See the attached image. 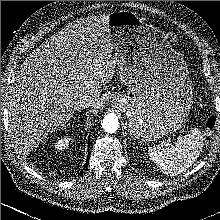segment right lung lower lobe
Segmentation results:
<instances>
[{"instance_id":"right-lung-lower-lobe-1","label":"right lung lower lobe","mask_w":220,"mask_h":220,"mask_svg":"<svg viewBox=\"0 0 220 220\" xmlns=\"http://www.w3.org/2000/svg\"><path fill=\"white\" fill-rule=\"evenodd\" d=\"M88 142H89V140H88ZM88 148H89V143H88ZM88 162H89V156H88V158H87V161H86L85 167H87ZM85 167H84V168H85Z\"/></svg>"}]
</instances>
